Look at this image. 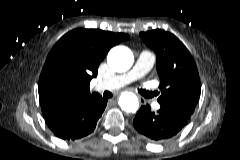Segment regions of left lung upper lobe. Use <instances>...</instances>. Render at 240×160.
Segmentation results:
<instances>
[{"label":"left lung upper lobe","instance_id":"left-lung-upper-lobe-1","mask_svg":"<svg viewBox=\"0 0 240 160\" xmlns=\"http://www.w3.org/2000/svg\"><path fill=\"white\" fill-rule=\"evenodd\" d=\"M140 36L157 55L161 107L190 119L201 93L199 73L190 52L175 35L164 30L141 32Z\"/></svg>","mask_w":240,"mask_h":160}]
</instances>
